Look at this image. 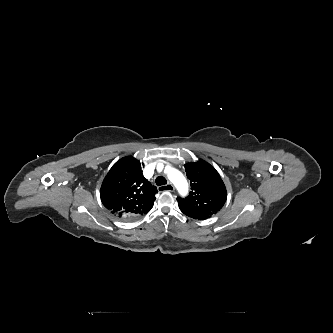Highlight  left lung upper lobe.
Listing matches in <instances>:
<instances>
[{
	"label": "left lung upper lobe",
	"mask_w": 333,
	"mask_h": 333,
	"mask_svg": "<svg viewBox=\"0 0 333 333\" xmlns=\"http://www.w3.org/2000/svg\"><path fill=\"white\" fill-rule=\"evenodd\" d=\"M192 191L185 198L178 197L183 213L206 219L216 214L225 204L227 192L218 172L206 161L185 164Z\"/></svg>",
	"instance_id": "5c2ea615"
}]
</instances>
